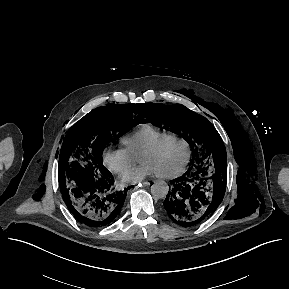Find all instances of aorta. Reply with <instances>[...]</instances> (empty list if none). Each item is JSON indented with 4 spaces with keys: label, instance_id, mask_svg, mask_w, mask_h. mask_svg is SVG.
<instances>
[{
    "label": "aorta",
    "instance_id": "aorta-1",
    "mask_svg": "<svg viewBox=\"0 0 289 289\" xmlns=\"http://www.w3.org/2000/svg\"><path fill=\"white\" fill-rule=\"evenodd\" d=\"M168 191H169V186L163 180L156 181L151 186V194L153 195L154 198H157V199L165 198L168 194Z\"/></svg>",
    "mask_w": 289,
    "mask_h": 289
}]
</instances>
